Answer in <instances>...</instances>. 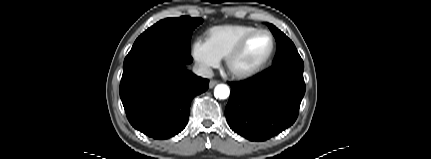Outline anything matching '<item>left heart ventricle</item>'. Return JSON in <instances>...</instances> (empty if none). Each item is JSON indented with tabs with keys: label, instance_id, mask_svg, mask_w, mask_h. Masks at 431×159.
Listing matches in <instances>:
<instances>
[{
	"label": "left heart ventricle",
	"instance_id": "left-heart-ventricle-1",
	"mask_svg": "<svg viewBox=\"0 0 431 159\" xmlns=\"http://www.w3.org/2000/svg\"><path fill=\"white\" fill-rule=\"evenodd\" d=\"M272 40L266 34H258L247 44L241 55L234 61L232 68L236 72L247 71L260 65L270 54Z\"/></svg>",
	"mask_w": 431,
	"mask_h": 159
}]
</instances>
